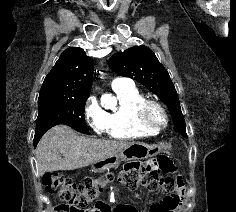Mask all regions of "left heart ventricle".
<instances>
[{"label": "left heart ventricle", "instance_id": "left-heart-ventricle-1", "mask_svg": "<svg viewBox=\"0 0 236 212\" xmlns=\"http://www.w3.org/2000/svg\"><path fill=\"white\" fill-rule=\"evenodd\" d=\"M153 117H154L156 122H161L162 121L161 115L156 111L153 113Z\"/></svg>", "mask_w": 236, "mask_h": 212}]
</instances>
